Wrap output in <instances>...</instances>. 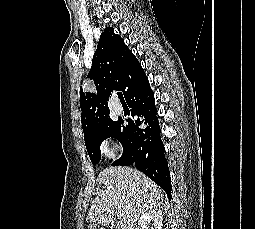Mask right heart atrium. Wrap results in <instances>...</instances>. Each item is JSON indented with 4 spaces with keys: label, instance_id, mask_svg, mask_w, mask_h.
Segmentation results:
<instances>
[{
    "label": "right heart atrium",
    "instance_id": "right-heart-atrium-1",
    "mask_svg": "<svg viewBox=\"0 0 255 229\" xmlns=\"http://www.w3.org/2000/svg\"><path fill=\"white\" fill-rule=\"evenodd\" d=\"M101 153L108 157V158H114L116 156L117 151L120 150V146L111 139H108L100 145Z\"/></svg>",
    "mask_w": 255,
    "mask_h": 229
}]
</instances>
